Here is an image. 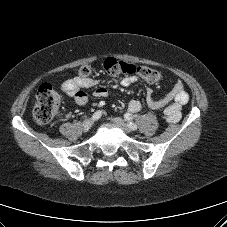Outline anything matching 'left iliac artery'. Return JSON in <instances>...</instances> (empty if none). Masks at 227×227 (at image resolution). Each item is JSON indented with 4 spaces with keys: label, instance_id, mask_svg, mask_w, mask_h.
Here are the masks:
<instances>
[{
    "label": "left iliac artery",
    "instance_id": "left-iliac-artery-1",
    "mask_svg": "<svg viewBox=\"0 0 227 227\" xmlns=\"http://www.w3.org/2000/svg\"><path fill=\"white\" fill-rule=\"evenodd\" d=\"M128 127L132 130H136L137 129V125L133 122H128Z\"/></svg>",
    "mask_w": 227,
    "mask_h": 227
}]
</instances>
